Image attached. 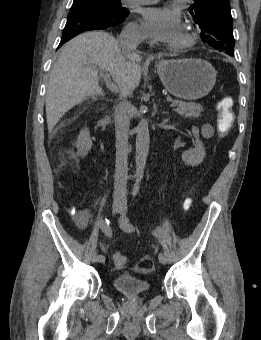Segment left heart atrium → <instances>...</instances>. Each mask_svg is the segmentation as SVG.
<instances>
[{
	"label": "left heart atrium",
	"instance_id": "1",
	"mask_svg": "<svg viewBox=\"0 0 261 340\" xmlns=\"http://www.w3.org/2000/svg\"><path fill=\"white\" fill-rule=\"evenodd\" d=\"M146 33L158 43H173L181 32L179 14L166 7H149L142 10Z\"/></svg>",
	"mask_w": 261,
	"mask_h": 340
}]
</instances>
